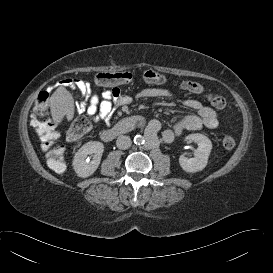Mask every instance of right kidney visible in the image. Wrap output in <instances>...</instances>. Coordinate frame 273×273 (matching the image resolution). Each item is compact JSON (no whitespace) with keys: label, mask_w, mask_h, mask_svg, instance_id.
Instances as JSON below:
<instances>
[{"label":"right kidney","mask_w":273,"mask_h":273,"mask_svg":"<svg viewBox=\"0 0 273 273\" xmlns=\"http://www.w3.org/2000/svg\"><path fill=\"white\" fill-rule=\"evenodd\" d=\"M104 151V145L98 141L84 144L75 154L73 167L77 176L86 178L98 168Z\"/></svg>","instance_id":"ca27d5eb"}]
</instances>
